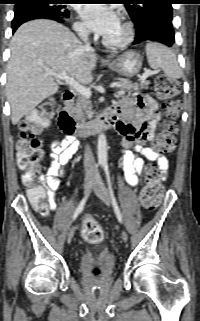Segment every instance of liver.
Masks as SVG:
<instances>
[{
  "label": "liver",
  "instance_id": "obj_1",
  "mask_svg": "<svg viewBox=\"0 0 200 321\" xmlns=\"http://www.w3.org/2000/svg\"><path fill=\"white\" fill-rule=\"evenodd\" d=\"M96 62L94 51L55 21L38 19L21 25L12 37L7 65L6 95L12 124L58 91L54 77L46 71L65 72L81 84H89Z\"/></svg>",
  "mask_w": 200,
  "mask_h": 321
}]
</instances>
